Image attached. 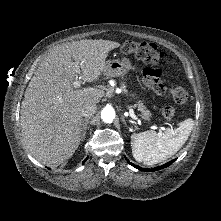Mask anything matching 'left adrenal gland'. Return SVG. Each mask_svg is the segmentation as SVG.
Segmentation results:
<instances>
[{
    "label": "left adrenal gland",
    "instance_id": "left-adrenal-gland-1",
    "mask_svg": "<svg viewBox=\"0 0 221 221\" xmlns=\"http://www.w3.org/2000/svg\"><path fill=\"white\" fill-rule=\"evenodd\" d=\"M122 121L126 125V120L124 119V117H122Z\"/></svg>",
    "mask_w": 221,
    "mask_h": 221
}]
</instances>
